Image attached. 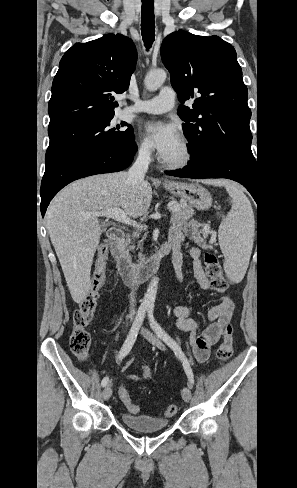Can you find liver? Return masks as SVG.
Listing matches in <instances>:
<instances>
[{"mask_svg":"<svg viewBox=\"0 0 297 488\" xmlns=\"http://www.w3.org/2000/svg\"><path fill=\"white\" fill-rule=\"evenodd\" d=\"M214 183V182H210ZM148 181L132 184L127 172L87 177L65 187L50 203L46 224L72 299L81 303L91 288L90 272L102 228L92 213L122 208L132 217L147 213Z\"/></svg>","mask_w":297,"mask_h":488,"instance_id":"liver-1","label":"liver"}]
</instances>
